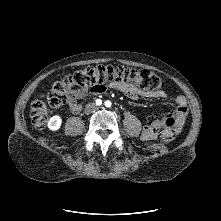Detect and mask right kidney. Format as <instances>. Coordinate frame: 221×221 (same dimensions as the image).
<instances>
[{
    "mask_svg": "<svg viewBox=\"0 0 221 221\" xmlns=\"http://www.w3.org/2000/svg\"><path fill=\"white\" fill-rule=\"evenodd\" d=\"M62 124V118L58 115L52 116L48 121V128L51 131H57L60 129Z\"/></svg>",
    "mask_w": 221,
    "mask_h": 221,
    "instance_id": "ca27d5eb",
    "label": "right kidney"
}]
</instances>
